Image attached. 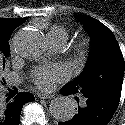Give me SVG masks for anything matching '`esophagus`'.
Returning a JSON list of instances; mask_svg holds the SVG:
<instances>
[{
  "instance_id": "1",
  "label": "esophagus",
  "mask_w": 125,
  "mask_h": 125,
  "mask_svg": "<svg viewBox=\"0 0 125 125\" xmlns=\"http://www.w3.org/2000/svg\"><path fill=\"white\" fill-rule=\"evenodd\" d=\"M40 99H52L54 96L51 94L38 93Z\"/></svg>"
}]
</instances>
